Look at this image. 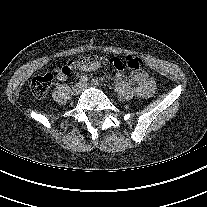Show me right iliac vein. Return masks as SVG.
I'll list each match as a JSON object with an SVG mask.
<instances>
[{
  "instance_id": "obj_1",
  "label": "right iliac vein",
  "mask_w": 207,
  "mask_h": 207,
  "mask_svg": "<svg viewBox=\"0 0 207 207\" xmlns=\"http://www.w3.org/2000/svg\"><path fill=\"white\" fill-rule=\"evenodd\" d=\"M81 90H82V85L80 83H76L72 87V92L74 95H79L81 93Z\"/></svg>"
}]
</instances>
